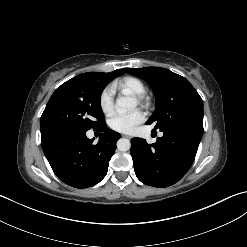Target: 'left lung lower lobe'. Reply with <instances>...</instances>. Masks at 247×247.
Here are the masks:
<instances>
[{"label": "left lung lower lobe", "instance_id": "left-lung-lower-lobe-1", "mask_svg": "<svg viewBox=\"0 0 247 247\" xmlns=\"http://www.w3.org/2000/svg\"><path fill=\"white\" fill-rule=\"evenodd\" d=\"M163 136L149 145L146 140H131V156L137 178L154 187L178 182L191 167L202 132L183 124L161 130Z\"/></svg>", "mask_w": 247, "mask_h": 247}]
</instances>
